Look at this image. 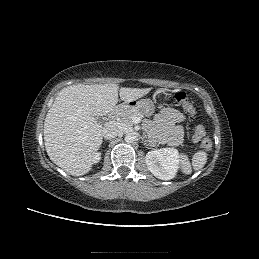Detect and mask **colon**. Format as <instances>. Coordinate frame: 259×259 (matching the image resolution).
Segmentation results:
<instances>
[{"label": "colon", "instance_id": "5ec220e1", "mask_svg": "<svg viewBox=\"0 0 259 259\" xmlns=\"http://www.w3.org/2000/svg\"><path fill=\"white\" fill-rule=\"evenodd\" d=\"M174 99L178 104L182 105L187 112H189L190 114L195 113L193 105L190 103L184 92L176 93ZM189 121L193 122L194 124V135L192 136V142L200 141L202 150L209 151L212 148V141L209 137L205 136L204 127L202 125L197 126L195 115H190Z\"/></svg>", "mask_w": 259, "mask_h": 259}]
</instances>
